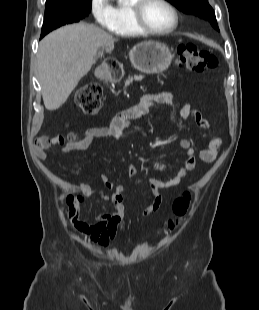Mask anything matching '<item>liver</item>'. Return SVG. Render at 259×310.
I'll list each match as a JSON object with an SVG mask.
<instances>
[{
	"mask_svg": "<svg viewBox=\"0 0 259 310\" xmlns=\"http://www.w3.org/2000/svg\"><path fill=\"white\" fill-rule=\"evenodd\" d=\"M115 42L112 35L85 23L64 26L42 39L37 71L45 108L61 107L90 71L98 49L102 47L110 52Z\"/></svg>",
	"mask_w": 259,
	"mask_h": 310,
	"instance_id": "liver-1",
	"label": "liver"
}]
</instances>
